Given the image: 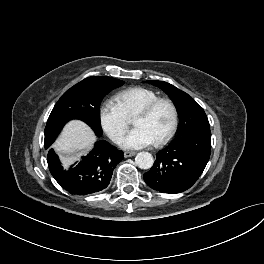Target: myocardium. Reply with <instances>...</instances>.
Wrapping results in <instances>:
<instances>
[{
    "mask_svg": "<svg viewBox=\"0 0 264 264\" xmlns=\"http://www.w3.org/2000/svg\"><path fill=\"white\" fill-rule=\"evenodd\" d=\"M160 104H166L171 110L172 114V120L171 125L167 133L155 141L156 145H163L167 142H169L172 137L175 135L178 122H179V113L176 104L173 102V100L166 98V97H158L155 100L151 101L147 105H145L141 110H139L134 118L136 117H148L153 113V111L160 105Z\"/></svg>",
    "mask_w": 264,
    "mask_h": 264,
    "instance_id": "f54148a6",
    "label": "myocardium"
}]
</instances>
